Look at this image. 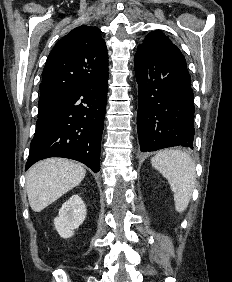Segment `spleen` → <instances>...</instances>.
I'll return each mask as SVG.
<instances>
[{
    "instance_id": "1",
    "label": "spleen",
    "mask_w": 232,
    "mask_h": 282,
    "mask_svg": "<svg viewBox=\"0 0 232 282\" xmlns=\"http://www.w3.org/2000/svg\"><path fill=\"white\" fill-rule=\"evenodd\" d=\"M151 163L169 181L176 210L184 211L188 207L195 183V164L192 158L184 152L168 150L154 156Z\"/></svg>"
}]
</instances>
